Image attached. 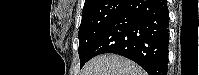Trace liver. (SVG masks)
Returning a JSON list of instances; mask_svg holds the SVG:
<instances>
[{
    "instance_id": "obj_1",
    "label": "liver",
    "mask_w": 199,
    "mask_h": 75,
    "mask_svg": "<svg viewBox=\"0 0 199 75\" xmlns=\"http://www.w3.org/2000/svg\"><path fill=\"white\" fill-rule=\"evenodd\" d=\"M81 75H146V73L127 58L104 54L87 62Z\"/></svg>"
}]
</instances>
